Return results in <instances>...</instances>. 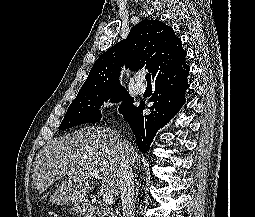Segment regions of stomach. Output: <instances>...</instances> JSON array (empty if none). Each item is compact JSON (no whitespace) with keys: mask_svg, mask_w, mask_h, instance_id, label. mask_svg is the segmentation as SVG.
Returning a JSON list of instances; mask_svg holds the SVG:
<instances>
[{"mask_svg":"<svg viewBox=\"0 0 255 217\" xmlns=\"http://www.w3.org/2000/svg\"><path fill=\"white\" fill-rule=\"evenodd\" d=\"M71 211L75 214H83L86 211V203L85 202H79V203H75L72 207H71Z\"/></svg>","mask_w":255,"mask_h":217,"instance_id":"stomach-1","label":"stomach"}]
</instances>
